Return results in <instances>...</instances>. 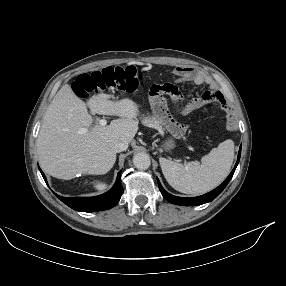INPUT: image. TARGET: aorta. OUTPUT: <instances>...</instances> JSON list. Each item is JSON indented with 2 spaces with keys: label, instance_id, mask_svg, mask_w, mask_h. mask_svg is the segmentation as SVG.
<instances>
[{
  "label": "aorta",
  "instance_id": "aorta-1",
  "mask_svg": "<svg viewBox=\"0 0 286 286\" xmlns=\"http://www.w3.org/2000/svg\"><path fill=\"white\" fill-rule=\"evenodd\" d=\"M134 166L137 169L145 170L148 169L151 165L150 157L147 153H137L133 157Z\"/></svg>",
  "mask_w": 286,
  "mask_h": 286
}]
</instances>
